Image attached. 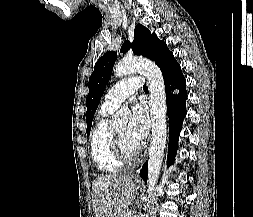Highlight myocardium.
Instances as JSON below:
<instances>
[{
    "label": "myocardium",
    "mask_w": 253,
    "mask_h": 217,
    "mask_svg": "<svg viewBox=\"0 0 253 217\" xmlns=\"http://www.w3.org/2000/svg\"><path fill=\"white\" fill-rule=\"evenodd\" d=\"M111 147L114 155L123 163H130L134 161L140 153V146L135 150H128L115 129H112Z\"/></svg>",
    "instance_id": "myocardium-1"
}]
</instances>
